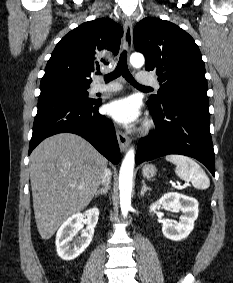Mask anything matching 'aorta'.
I'll return each instance as SVG.
<instances>
[{"instance_id":"obj_1","label":"aorta","mask_w":233,"mask_h":283,"mask_svg":"<svg viewBox=\"0 0 233 283\" xmlns=\"http://www.w3.org/2000/svg\"><path fill=\"white\" fill-rule=\"evenodd\" d=\"M130 63L133 67L140 68L145 63L144 56L140 53H133L130 57ZM134 165L135 151L134 148H130L122 161L119 172L120 208L123 217H126L131 209Z\"/></svg>"}]
</instances>
